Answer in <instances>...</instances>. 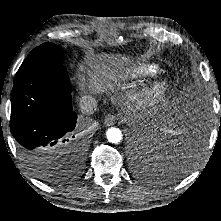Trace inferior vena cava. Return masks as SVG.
Instances as JSON below:
<instances>
[{"mask_svg": "<svg viewBox=\"0 0 221 221\" xmlns=\"http://www.w3.org/2000/svg\"><path fill=\"white\" fill-rule=\"evenodd\" d=\"M98 102L92 95H84L79 100V107L83 114L91 115L95 112Z\"/></svg>", "mask_w": 221, "mask_h": 221, "instance_id": "inferior-vena-cava-1", "label": "inferior vena cava"}]
</instances>
